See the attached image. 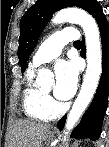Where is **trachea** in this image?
Instances as JSON below:
<instances>
[{
	"label": "trachea",
	"instance_id": "3493384b",
	"mask_svg": "<svg viewBox=\"0 0 109 147\" xmlns=\"http://www.w3.org/2000/svg\"><path fill=\"white\" fill-rule=\"evenodd\" d=\"M81 41L74 42V45H80Z\"/></svg>",
	"mask_w": 109,
	"mask_h": 147
}]
</instances>
